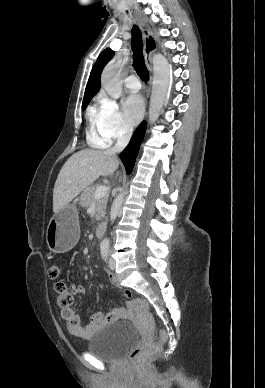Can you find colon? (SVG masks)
<instances>
[{
	"label": "colon",
	"instance_id": "1",
	"mask_svg": "<svg viewBox=\"0 0 265 388\" xmlns=\"http://www.w3.org/2000/svg\"><path fill=\"white\" fill-rule=\"evenodd\" d=\"M62 269L59 265L55 264L49 269V276L53 279L58 278L61 275ZM54 289L57 293V304L61 309L71 308L74 303V294L70 287H68L63 281H58ZM125 296L131 297V292L126 290L124 292ZM140 306L148 311L149 306L145 300L139 299ZM160 339L164 341L166 339L165 331L161 330ZM159 349V344L154 343L149 345L147 348H135L130 355V360L132 362H139L143 357L150 355L156 352Z\"/></svg>",
	"mask_w": 265,
	"mask_h": 388
}]
</instances>
